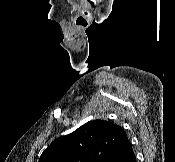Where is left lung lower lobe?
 Returning a JSON list of instances; mask_svg holds the SVG:
<instances>
[{
  "instance_id": "0a47b994",
  "label": "left lung lower lobe",
  "mask_w": 175,
  "mask_h": 162,
  "mask_svg": "<svg viewBox=\"0 0 175 162\" xmlns=\"http://www.w3.org/2000/svg\"><path fill=\"white\" fill-rule=\"evenodd\" d=\"M106 162H136V157L128 137L113 150Z\"/></svg>"
}]
</instances>
